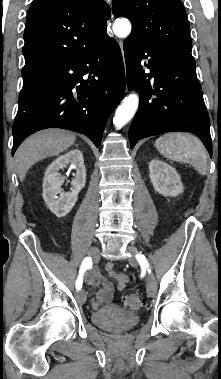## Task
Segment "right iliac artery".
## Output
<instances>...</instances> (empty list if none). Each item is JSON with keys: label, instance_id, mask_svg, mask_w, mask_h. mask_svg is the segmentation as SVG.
Segmentation results:
<instances>
[{"label": "right iliac artery", "instance_id": "82829eb1", "mask_svg": "<svg viewBox=\"0 0 221 379\" xmlns=\"http://www.w3.org/2000/svg\"><path fill=\"white\" fill-rule=\"evenodd\" d=\"M91 267H92V259H91V257H86L82 261V264H81V267L79 270V275H78V278H77L76 283H75L77 290H80L82 288L84 272Z\"/></svg>", "mask_w": 221, "mask_h": 379}]
</instances>
